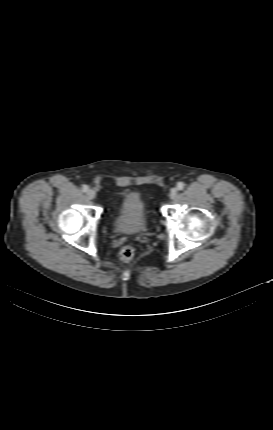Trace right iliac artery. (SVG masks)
Returning <instances> with one entry per match:
<instances>
[{"label": "right iliac artery", "instance_id": "1", "mask_svg": "<svg viewBox=\"0 0 273 430\" xmlns=\"http://www.w3.org/2000/svg\"><path fill=\"white\" fill-rule=\"evenodd\" d=\"M89 190V187L87 185L82 186V191L87 192Z\"/></svg>", "mask_w": 273, "mask_h": 430}]
</instances>
